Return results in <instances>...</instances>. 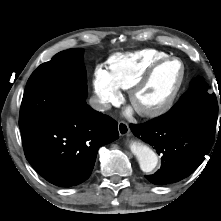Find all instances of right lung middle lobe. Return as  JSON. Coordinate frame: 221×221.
Here are the masks:
<instances>
[{"instance_id":"1","label":"right lung middle lobe","mask_w":221,"mask_h":221,"mask_svg":"<svg viewBox=\"0 0 221 221\" xmlns=\"http://www.w3.org/2000/svg\"><path fill=\"white\" fill-rule=\"evenodd\" d=\"M83 49L59 52L30 76L22 99L21 132L47 124L87 96Z\"/></svg>"}]
</instances>
